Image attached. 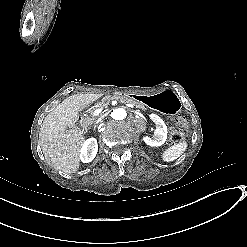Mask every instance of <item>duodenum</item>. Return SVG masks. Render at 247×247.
<instances>
[{"label": "duodenum", "mask_w": 247, "mask_h": 247, "mask_svg": "<svg viewBox=\"0 0 247 247\" xmlns=\"http://www.w3.org/2000/svg\"><path fill=\"white\" fill-rule=\"evenodd\" d=\"M83 124V117L79 115L76 120H75V125L76 126H81Z\"/></svg>", "instance_id": "duodenum-1"}]
</instances>
